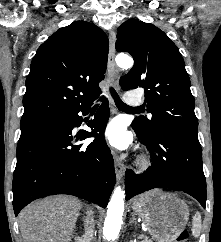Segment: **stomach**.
I'll use <instances>...</instances> for the list:
<instances>
[{"instance_id": "obj_1", "label": "stomach", "mask_w": 221, "mask_h": 242, "mask_svg": "<svg viewBox=\"0 0 221 242\" xmlns=\"http://www.w3.org/2000/svg\"><path fill=\"white\" fill-rule=\"evenodd\" d=\"M132 209L157 242H171L189 219V209L183 200L158 189L134 199Z\"/></svg>"}]
</instances>
